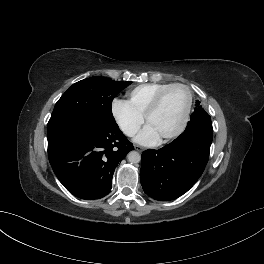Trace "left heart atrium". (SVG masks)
<instances>
[{
	"label": "left heart atrium",
	"mask_w": 264,
	"mask_h": 264,
	"mask_svg": "<svg viewBox=\"0 0 264 264\" xmlns=\"http://www.w3.org/2000/svg\"><path fill=\"white\" fill-rule=\"evenodd\" d=\"M135 140L143 145H154L160 140V136L151 125L147 124Z\"/></svg>",
	"instance_id": "1"
}]
</instances>
